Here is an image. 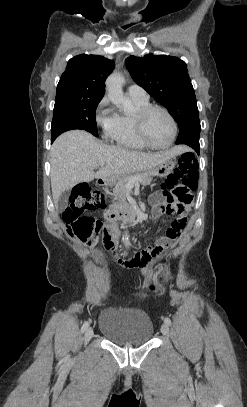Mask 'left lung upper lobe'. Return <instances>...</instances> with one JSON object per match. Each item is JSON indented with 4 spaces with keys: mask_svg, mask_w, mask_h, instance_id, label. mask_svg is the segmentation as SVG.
<instances>
[{
    "mask_svg": "<svg viewBox=\"0 0 247 407\" xmlns=\"http://www.w3.org/2000/svg\"><path fill=\"white\" fill-rule=\"evenodd\" d=\"M126 67L134 81L162 104L179 126L176 144L198 142L200 120L186 64L177 57L130 56Z\"/></svg>",
    "mask_w": 247,
    "mask_h": 407,
    "instance_id": "left-lung-upper-lobe-1",
    "label": "left lung upper lobe"
}]
</instances>
